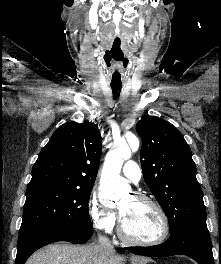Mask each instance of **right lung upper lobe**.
Returning <instances> with one entry per match:
<instances>
[{
  "instance_id": "right-lung-upper-lobe-1",
  "label": "right lung upper lobe",
  "mask_w": 221,
  "mask_h": 264,
  "mask_svg": "<svg viewBox=\"0 0 221 264\" xmlns=\"http://www.w3.org/2000/svg\"><path fill=\"white\" fill-rule=\"evenodd\" d=\"M101 149L100 132L94 123L63 124L41 150L27 190L53 185L92 188Z\"/></svg>"
}]
</instances>
